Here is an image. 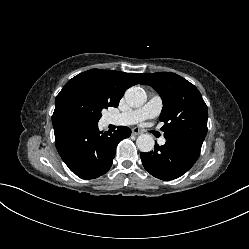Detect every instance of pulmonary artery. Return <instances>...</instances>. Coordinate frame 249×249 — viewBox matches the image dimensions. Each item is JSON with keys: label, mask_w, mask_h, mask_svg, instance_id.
<instances>
[{"label": "pulmonary artery", "mask_w": 249, "mask_h": 249, "mask_svg": "<svg viewBox=\"0 0 249 249\" xmlns=\"http://www.w3.org/2000/svg\"><path fill=\"white\" fill-rule=\"evenodd\" d=\"M163 102L159 96H153L149 101L142 107L118 114H111L108 116V122L114 125H132L141 120L154 118L156 117L162 110ZM166 139L164 137L159 139V143L164 145Z\"/></svg>", "instance_id": "obj_1"}]
</instances>
